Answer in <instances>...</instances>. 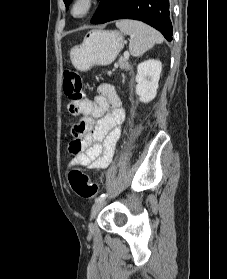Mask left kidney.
<instances>
[{"instance_id": "5707ae66", "label": "left kidney", "mask_w": 227, "mask_h": 279, "mask_svg": "<svg viewBox=\"0 0 227 279\" xmlns=\"http://www.w3.org/2000/svg\"><path fill=\"white\" fill-rule=\"evenodd\" d=\"M161 70L162 63L159 60L149 59L138 65L136 93L141 102L148 103L155 98Z\"/></svg>"}]
</instances>
